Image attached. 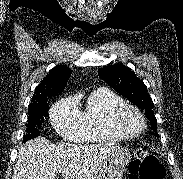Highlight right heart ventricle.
<instances>
[{"label":"right heart ventricle","mask_w":183,"mask_h":179,"mask_svg":"<svg viewBox=\"0 0 183 179\" xmlns=\"http://www.w3.org/2000/svg\"><path fill=\"white\" fill-rule=\"evenodd\" d=\"M125 100L115 92L98 88L87 97L82 117V132L79 141L107 142L118 141L126 137L117 133L112 126V115L115 110L125 105Z\"/></svg>","instance_id":"right-heart-ventricle-1"}]
</instances>
